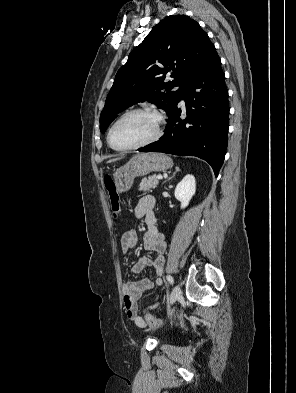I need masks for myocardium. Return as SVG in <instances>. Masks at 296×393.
I'll use <instances>...</instances> for the list:
<instances>
[{
	"label": "myocardium",
	"instance_id": "f54148a6",
	"mask_svg": "<svg viewBox=\"0 0 296 393\" xmlns=\"http://www.w3.org/2000/svg\"><path fill=\"white\" fill-rule=\"evenodd\" d=\"M138 113L150 114V115L155 117L157 125H156V131H155L154 135L151 138H149L148 140L143 141V142L138 143V144H135V145H132V146H128V147H118V146H116L114 144V142H113V139H112V135H113V131H114L115 127L123 119H125L126 117H128L130 115H133V114H138ZM164 123H165V120H164L163 115L159 111H157L155 109H152V108H135V109L129 110V111L125 112L124 114H122L113 123V125L109 129L108 136H107L108 144L110 145V147L112 149H114L116 151H121V152L135 150V149H139V148L148 146V145L158 141L161 138V136L163 134Z\"/></svg>",
	"mask_w": 296,
	"mask_h": 393
}]
</instances>
